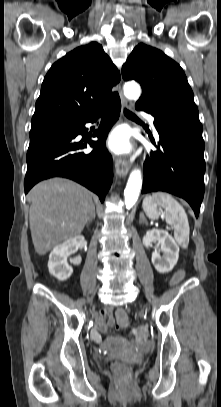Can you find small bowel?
<instances>
[{"label": "small bowel", "mask_w": 221, "mask_h": 407, "mask_svg": "<svg viewBox=\"0 0 221 407\" xmlns=\"http://www.w3.org/2000/svg\"><path fill=\"white\" fill-rule=\"evenodd\" d=\"M117 311L113 312L112 309H110V308L104 309L101 312V315H100V318H99V323L101 325L106 324L109 328L114 327V325H115V318L114 317H115V314L117 313ZM91 335H92V338L95 341H97V342L100 341L101 337H100V335H99V333L97 331H93Z\"/></svg>", "instance_id": "small-bowel-1"}]
</instances>
